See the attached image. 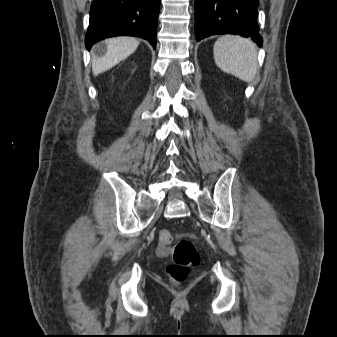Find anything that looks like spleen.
<instances>
[{
  "label": "spleen",
  "mask_w": 337,
  "mask_h": 337,
  "mask_svg": "<svg viewBox=\"0 0 337 337\" xmlns=\"http://www.w3.org/2000/svg\"><path fill=\"white\" fill-rule=\"evenodd\" d=\"M216 65L225 73L245 82H251L257 71L258 59L255 44L249 39L224 35L214 44Z\"/></svg>",
  "instance_id": "obj_1"
}]
</instances>
